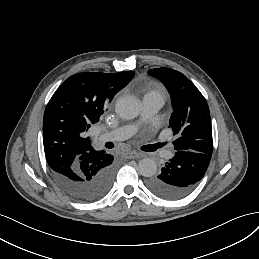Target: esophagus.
I'll list each match as a JSON object with an SVG mask.
<instances>
[{"mask_svg":"<svg viewBox=\"0 0 259 259\" xmlns=\"http://www.w3.org/2000/svg\"><path fill=\"white\" fill-rule=\"evenodd\" d=\"M124 157L126 159H135L140 157V153L136 152V151H130L124 154Z\"/></svg>","mask_w":259,"mask_h":259,"instance_id":"1","label":"esophagus"}]
</instances>
